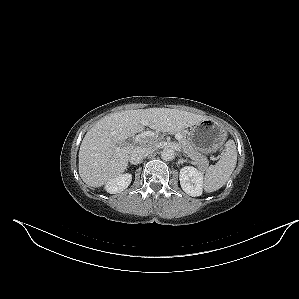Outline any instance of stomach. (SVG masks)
Segmentation results:
<instances>
[{"instance_id": "stomach-1", "label": "stomach", "mask_w": 299, "mask_h": 299, "mask_svg": "<svg viewBox=\"0 0 299 299\" xmlns=\"http://www.w3.org/2000/svg\"><path fill=\"white\" fill-rule=\"evenodd\" d=\"M224 139L223 128L209 119L191 126L188 132L189 142L196 150L204 154L216 152L222 146Z\"/></svg>"}]
</instances>
